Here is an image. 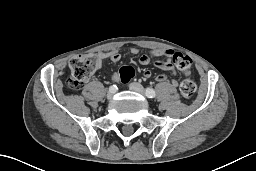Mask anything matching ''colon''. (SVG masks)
I'll use <instances>...</instances> for the list:
<instances>
[{
	"label": "colon",
	"instance_id": "1",
	"mask_svg": "<svg viewBox=\"0 0 256 171\" xmlns=\"http://www.w3.org/2000/svg\"><path fill=\"white\" fill-rule=\"evenodd\" d=\"M176 66L184 71L189 72L192 67V59L189 56L177 54L174 57ZM102 60L94 54L78 55L70 60L71 77L68 85L72 89L80 88L90 77V75L100 69ZM136 74L132 66H123L119 69L117 76L122 83H128ZM181 95L185 99H192L196 93L195 82L187 77L179 85Z\"/></svg>",
	"mask_w": 256,
	"mask_h": 171
}]
</instances>
